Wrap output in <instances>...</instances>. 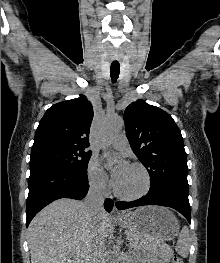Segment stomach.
Listing matches in <instances>:
<instances>
[{"instance_id": "stomach-1", "label": "stomach", "mask_w": 220, "mask_h": 263, "mask_svg": "<svg viewBox=\"0 0 220 263\" xmlns=\"http://www.w3.org/2000/svg\"><path fill=\"white\" fill-rule=\"evenodd\" d=\"M117 222L136 237L133 245L139 249H151L153 243L172 240L179 232L175 215L161 206H144L125 213Z\"/></svg>"}]
</instances>
